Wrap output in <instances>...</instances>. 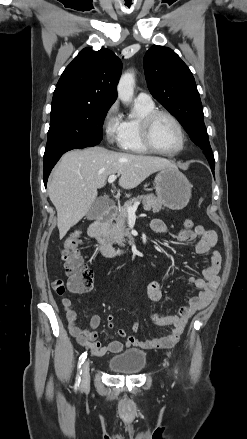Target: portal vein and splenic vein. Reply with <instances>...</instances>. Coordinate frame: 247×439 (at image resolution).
<instances>
[{
	"mask_svg": "<svg viewBox=\"0 0 247 439\" xmlns=\"http://www.w3.org/2000/svg\"><path fill=\"white\" fill-rule=\"evenodd\" d=\"M116 179H117V175L112 174L108 177V183H113ZM139 204H140L139 202H136V203H134L133 206H129L127 208L128 216H135V212H136Z\"/></svg>",
	"mask_w": 247,
	"mask_h": 439,
	"instance_id": "portal-vein-and-splenic-vein-1",
	"label": "portal vein and splenic vein"
}]
</instances>
